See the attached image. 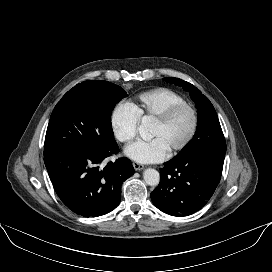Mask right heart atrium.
Instances as JSON below:
<instances>
[{
	"label": "right heart atrium",
	"mask_w": 272,
	"mask_h": 272,
	"mask_svg": "<svg viewBox=\"0 0 272 272\" xmlns=\"http://www.w3.org/2000/svg\"><path fill=\"white\" fill-rule=\"evenodd\" d=\"M110 124L115 137L122 143H128L137 134L139 118L130 104L119 103L112 110Z\"/></svg>",
	"instance_id": "obj_1"
}]
</instances>
